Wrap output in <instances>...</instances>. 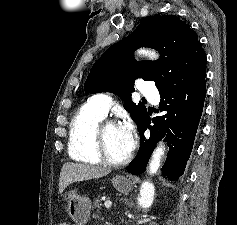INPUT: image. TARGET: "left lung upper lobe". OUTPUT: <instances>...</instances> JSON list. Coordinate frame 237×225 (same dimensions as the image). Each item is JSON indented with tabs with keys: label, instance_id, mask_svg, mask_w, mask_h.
I'll list each match as a JSON object with an SVG mask.
<instances>
[{
	"label": "left lung upper lobe",
	"instance_id": "5c2ea615",
	"mask_svg": "<svg viewBox=\"0 0 237 225\" xmlns=\"http://www.w3.org/2000/svg\"><path fill=\"white\" fill-rule=\"evenodd\" d=\"M150 47L160 52L156 61H136L134 51ZM206 76V55L198 35L175 15L150 16L125 39L113 44L94 63L85 92H113L139 126L146 107L131 100L137 78L155 81L160 92L196 83Z\"/></svg>",
	"mask_w": 237,
	"mask_h": 225
}]
</instances>
